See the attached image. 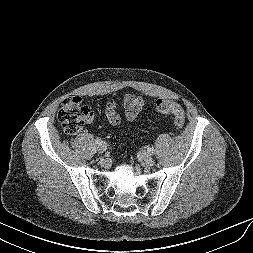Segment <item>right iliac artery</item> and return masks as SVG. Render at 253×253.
Listing matches in <instances>:
<instances>
[{"label": "right iliac artery", "instance_id": "right-iliac-artery-1", "mask_svg": "<svg viewBox=\"0 0 253 253\" xmlns=\"http://www.w3.org/2000/svg\"><path fill=\"white\" fill-rule=\"evenodd\" d=\"M95 143H96V144H101V143H103V141L101 140V138H97V139L95 140Z\"/></svg>", "mask_w": 253, "mask_h": 253}]
</instances>
